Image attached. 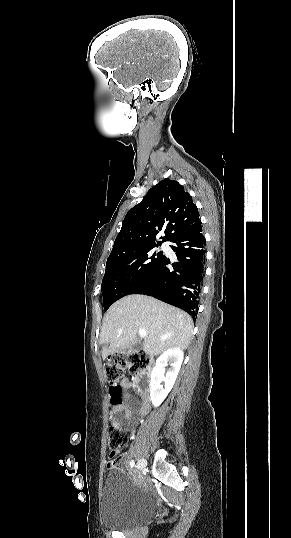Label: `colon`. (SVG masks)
<instances>
[{"label": "colon", "mask_w": 291, "mask_h": 538, "mask_svg": "<svg viewBox=\"0 0 291 538\" xmlns=\"http://www.w3.org/2000/svg\"><path fill=\"white\" fill-rule=\"evenodd\" d=\"M151 363V358L148 354L135 351L128 355L123 353H114L110 355L105 364V375L109 383L110 402L117 404L121 400V385L120 381L126 371L136 375V373H145L147 365ZM126 440V432L123 426L118 422H112L108 430V446L110 449V459L108 468L114 469L118 467V450Z\"/></svg>", "instance_id": "obj_1"}]
</instances>
